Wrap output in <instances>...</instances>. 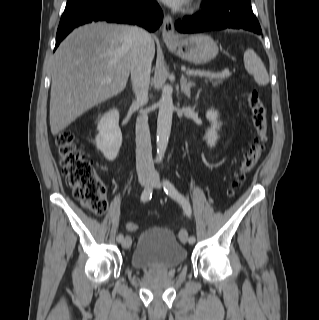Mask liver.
Here are the masks:
<instances>
[{
	"label": "liver",
	"instance_id": "6515ba94",
	"mask_svg": "<svg viewBox=\"0 0 319 320\" xmlns=\"http://www.w3.org/2000/svg\"><path fill=\"white\" fill-rule=\"evenodd\" d=\"M129 31L128 25L91 23L76 28L59 45L51 65L53 135L125 89L131 66ZM150 55L153 59V40Z\"/></svg>",
	"mask_w": 319,
	"mask_h": 320
}]
</instances>
